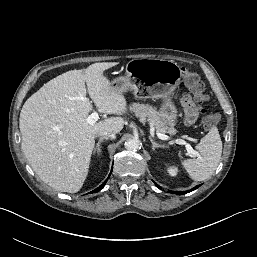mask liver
Segmentation results:
<instances>
[{
  "label": "liver",
  "instance_id": "6515ba94",
  "mask_svg": "<svg viewBox=\"0 0 257 257\" xmlns=\"http://www.w3.org/2000/svg\"><path fill=\"white\" fill-rule=\"evenodd\" d=\"M116 65L102 62L67 71L44 84L22 107V151L40 179L57 191L78 192L88 175L96 136L102 131L119 133L123 129L121 117L87 122L93 106L85 100L86 85L100 113L126 112L123 92L115 90L103 75Z\"/></svg>",
  "mask_w": 257,
  "mask_h": 257
}]
</instances>
